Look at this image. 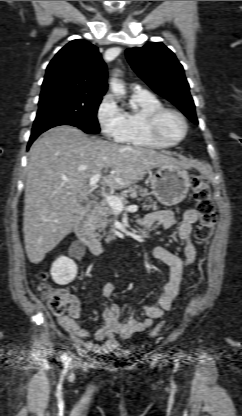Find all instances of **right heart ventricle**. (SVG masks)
I'll list each match as a JSON object with an SVG mask.
<instances>
[{
    "mask_svg": "<svg viewBox=\"0 0 242 416\" xmlns=\"http://www.w3.org/2000/svg\"><path fill=\"white\" fill-rule=\"evenodd\" d=\"M134 105L124 112L125 130L118 141L143 147L166 148L171 145L153 138L148 132L147 119L155 109L163 107L160 99L148 91H134L131 96Z\"/></svg>",
    "mask_w": 242,
    "mask_h": 416,
    "instance_id": "e07e8e85",
    "label": "right heart ventricle"
}]
</instances>
